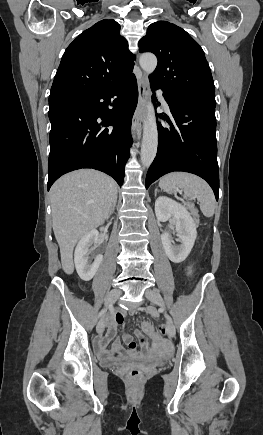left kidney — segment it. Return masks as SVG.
Masks as SVG:
<instances>
[{
  "label": "left kidney",
  "instance_id": "5707ae66",
  "mask_svg": "<svg viewBox=\"0 0 263 435\" xmlns=\"http://www.w3.org/2000/svg\"><path fill=\"white\" fill-rule=\"evenodd\" d=\"M155 214L161 222L174 217L175 229L181 245H174L168 232L162 233L161 240L168 258L174 263L183 262L190 254L197 237L193 218L185 206L165 196H160L155 201Z\"/></svg>",
  "mask_w": 263,
  "mask_h": 435
}]
</instances>
